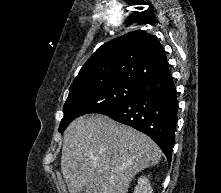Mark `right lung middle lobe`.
<instances>
[{
	"instance_id": "right-lung-middle-lobe-1",
	"label": "right lung middle lobe",
	"mask_w": 221,
	"mask_h": 193,
	"mask_svg": "<svg viewBox=\"0 0 221 193\" xmlns=\"http://www.w3.org/2000/svg\"><path fill=\"white\" fill-rule=\"evenodd\" d=\"M141 85L117 82L70 90L63 107L64 117L60 122L59 132H63L79 116L100 113L131 99L140 91Z\"/></svg>"
}]
</instances>
